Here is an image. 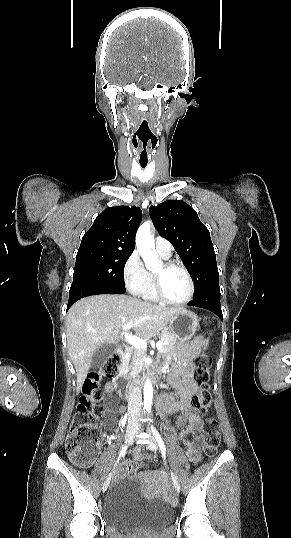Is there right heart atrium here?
<instances>
[{
    "label": "right heart atrium",
    "instance_id": "right-heart-atrium-1",
    "mask_svg": "<svg viewBox=\"0 0 291 538\" xmlns=\"http://www.w3.org/2000/svg\"><path fill=\"white\" fill-rule=\"evenodd\" d=\"M122 276L124 284L131 294L142 295L148 283L149 273L136 250L124 262Z\"/></svg>",
    "mask_w": 291,
    "mask_h": 538
}]
</instances>
